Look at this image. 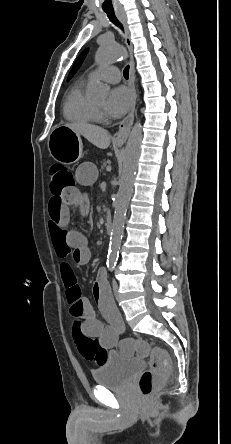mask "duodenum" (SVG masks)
<instances>
[{"label":"duodenum","mask_w":231,"mask_h":444,"mask_svg":"<svg viewBox=\"0 0 231 444\" xmlns=\"http://www.w3.org/2000/svg\"><path fill=\"white\" fill-rule=\"evenodd\" d=\"M113 228V220H112V216L109 214L106 216L105 219V229L107 233H110L112 231Z\"/></svg>","instance_id":"1"}]
</instances>
